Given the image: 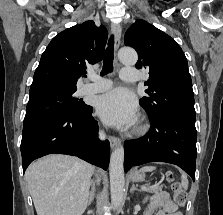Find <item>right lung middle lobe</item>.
Returning a JSON list of instances; mask_svg holds the SVG:
<instances>
[{"label": "right lung middle lobe", "instance_id": "obj_1", "mask_svg": "<svg viewBox=\"0 0 223 215\" xmlns=\"http://www.w3.org/2000/svg\"><path fill=\"white\" fill-rule=\"evenodd\" d=\"M76 90H43L30 92L24 120L50 114L85 115L90 106L73 96Z\"/></svg>", "mask_w": 223, "mask_h": 215}]
</instances>
